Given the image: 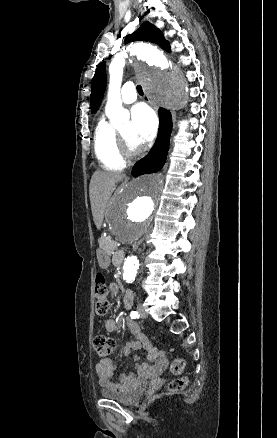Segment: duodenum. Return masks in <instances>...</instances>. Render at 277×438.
Here are the masks:
<instances>
[{
  "label": "duodenum",
  "instance_id": "duodenum-1",
  "mask_svg": "<svg viewBox=\"0 0 277 438\" xmlns=\"http://www.w3.org/2000/svg\"><path fill=\"white\" fill-rule=\"evenodd\" d=\"M113 260H114V264L116 266H118V267L121 266L125 260V252L124 251H117L114 254Z\"/></svg>",
  "mask_w": 277,
  "mask_h": 438
}]
</instances>
